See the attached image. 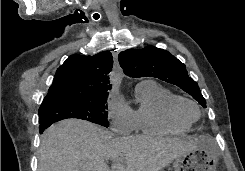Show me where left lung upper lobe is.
Wrapping results in <instances>:
<instances>
[{"label": "left lung upper lobe", "mask_w": 245, "mask_h": 171, "mask_svg": "<svg viewBox=\"0 0 245 171\" xmlns=\"http://www.w3.org/2000/svg\"><path fill=\"white\" fill-rule=\"evenodd\" d=\"M124 73L130 77H155L172 83L189 93L206 108L198 84L188 76L186 66L168 51L147 46L143 49H128L118 56Z\"/></svg>", "instance_id": "1"}]
</instances>
